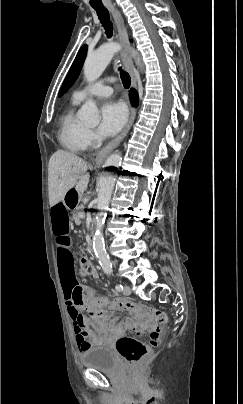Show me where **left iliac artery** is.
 <instances>
[{"mask_svg":"<svg viewBox=\"0 0 243 404\" xmlns=\"http://www.w3.org/2000/svg\"><path fill=\"white\" fill-rule=\"evenodd\" d=\"M115 289H116V291H122L124 288H123V285H121V284H117L116 286H115Z\"/></svg>","mask_w":243,"mask_h":404,"instance_id":"left-iliac-artery-1","label":"left iliac artery"}]
</instances>
